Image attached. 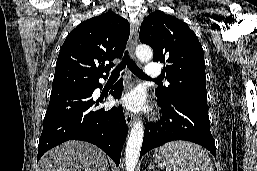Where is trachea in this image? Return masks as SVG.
Instances as JSON below:
<instances>
[{"label": "trachea", "instance_id": "obj_1", "mask_svg": "<svg viewBox=\"0 0 257 171\" xmlns=\"http://www.w3.org/2000/svg\"><path fill=\"white\" fill-rule=\"evenodd\" d=\"M129 69L139 78L142 79H151L149 78L136 64L135 62L129 57L128 51L125 52V56L122 62L112 71L111 77H119L120 71L126 67ZM155 81H161V79L157 78L154 79Z\"/></svg>", "mask_w": 257, "mask_h": 171}]
</instances>
